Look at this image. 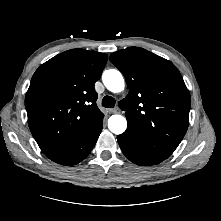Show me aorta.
<instances>
[{
	"instance_id": "762f6f07",
	"label": "aorta",
	"mask_w": 221,
	"mask_h": 221,
	"mask_svg": "<svg viewBox=\"0 0 221 221\" xmlns=\"http://www.w3.org/2000/svg\"><path fill=\"white\" fill-rule=\"evenodd\" d=\"M102 80L105 87L113 93H119L124 90V78L116 69L104 71ZM108 128L114 134H122L127 128L126 118L118 114L112 115L108 119Z\"/></svg>"
}]
</instances>
